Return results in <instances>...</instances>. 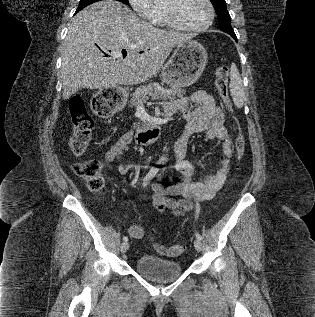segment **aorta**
I'll use <instances>...</instances> for the list:
<instances>
[{"mask_svg": "<svg viewBox=\"0 0 315 317\" xmlns=\"http://www.w3.org/2000/svg\"><path fill=\"white\" fill-rule=\"evenodd\" d=\"M160 0H154V2H159ZM161 160H165V157H161Z\"/></svg>", "mask_w": 315, "mask_h": 317, "instance_id": "obj_1", "label": "aorta"}]
</instances>
